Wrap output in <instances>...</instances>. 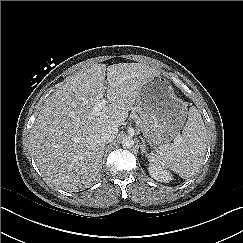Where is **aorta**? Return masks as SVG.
Here are the masks:
<instances>
[{"mask_svg":"<svg viewBox=\"0 0 243 243\" xmlns=\"http://www.w3.org/2000/svg\"><path fill=\"white\" fill-rule=\"evenodd\" d=\"M133 145H134V140H133V138L132 137H130V136H125L124 138H123V140H122V146L124 147V148H131V147H133Z\"/></svg>","mask_w":243,"mask_h":243,"instance_id":"762f6f07","label":"aorta"}]
</instances>
